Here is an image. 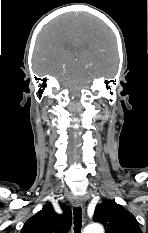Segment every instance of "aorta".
Instances as JSON below:
<instances>
[{"mask_svg":"<svg viewBox=\"0 0 148 233\" xmlns=\"http://www.w3.org/2000/svg\"><path fill=\"white\" fill-rule=\"evenodd\" d=\"M83 233H104V228L99 223H92L84 228Z\"/></svg>","mask_w":148,"mask_h":233,"instance_id":"762f6f07","label":"aorta"}]
</instances>
